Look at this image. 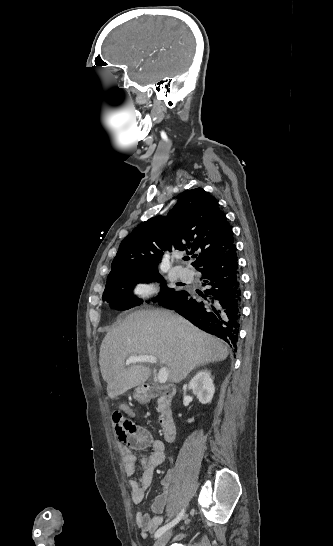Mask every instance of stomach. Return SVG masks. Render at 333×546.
<instances>
[{"mask_svg": "<svg viewBox=\"0 0 333 546\" xmlns=\"http://www.w3.org/2000/svg\"><path fill=\"white\" fill-rule=\"evenodd\" d=\"M133 398L139 403H144L147 400V392L143 388V386H138L137 388H135L133 392Z\"/></svg>", "mask_w": 333, "mask_h": 546, "instance_id": "obj_1", "label": "stomach"}]
</instances>
